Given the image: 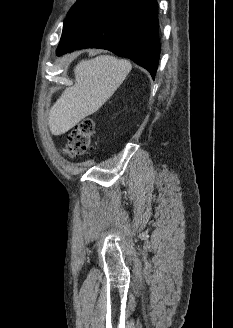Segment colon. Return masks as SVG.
Here are the masks:
<instances>
[{
  "label": "colon",
  "instance_id": "obj_1",
  "mask_svg": "<svg viewBox=\"0 0 233 328\" xmlns=\"http://www.w3.org/2000/svg\"><path fill=\"white\" fill-rule=\"evenodd\" d=\"M95 124L92 119L84 118L66 135L63 152L69 157H78L93 149Z\"/></svg>",
  "mask_w": 233,
  "mask_h": 328
}]
</instances>
